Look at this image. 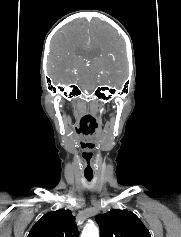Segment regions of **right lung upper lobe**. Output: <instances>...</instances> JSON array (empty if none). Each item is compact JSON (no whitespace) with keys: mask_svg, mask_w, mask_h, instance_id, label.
<instances>
[{"mask_svg":"<svg viewBox=\"0 0 181 237\" xmlns=\"http://www.w3.org/2000/svg\"><path fill=\"white\" fill-rule=\"evenodd\" d=\"M28 237H78L75 217L65 209L48 212L34 224Z\"/></svg>","mask_w":181,"mask_h":237,"instance_id":"1","label":"right lung upper lobe"}]
</instances>
